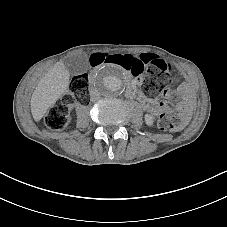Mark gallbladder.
Here are the masks:
<instances>
[{
  "mask_svg": "<svg viewBox=\"0 0 227 227\" xmlns=\"http://www.w3.org/2000/svg\"><path fill=\"white\" fill-rule=\"evenodd\" d=\"M70 72L73 75H79L89 70L88 56L85 53L74 55L69 60Z\"/></svg>",
  "mask_w": 227,
  "mask_h": 227,
  "instance_id": "gallbladder-1",
  "label": "gallbladder"
}]
</instances>
